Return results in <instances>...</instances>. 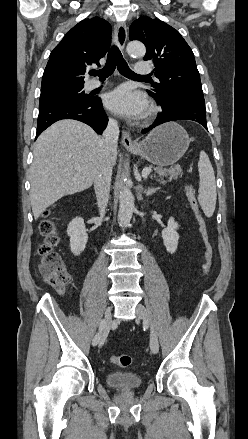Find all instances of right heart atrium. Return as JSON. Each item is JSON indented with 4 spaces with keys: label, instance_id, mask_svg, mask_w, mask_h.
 Returning <instances> with one entry per match:
<instances>
[{
    "label": "right heart atrium",
    "instance_id": "1",
    "mask_svg": "<svg viewBox=\"0 0 248 439\" xmlns=\"http://www.w3.org/2000/svg\"><path fill=\"white\" fill-rule=\"evenodd\" d=\"M111 123H113V124H114V123H115V121H114V120H111Z\"/></svg>",
    "mask_w": 248,
    "mask_h": 439
}]
</instances>
